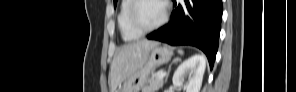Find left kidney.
Returning <instances> with one entry per match:
<instances>
[{
	"instance_id": "obj_1",
	"label": "left kidney",
	"mask_w": 296,
	"mask_h": 92,
	"mask_svg": "<svg viewBox=\"0 0 296 92\" xmlns=\"http://www.w3.org/2000/svg\"><path fill=\"white\" fill-rule=\"evenodd\" d=\"M206 69V59L203 55H193L183 61L176 69L172 82L176 87H182L185 92H199ZM188 77V81L185 78Z\"/></svg>"
}]
</instances>
